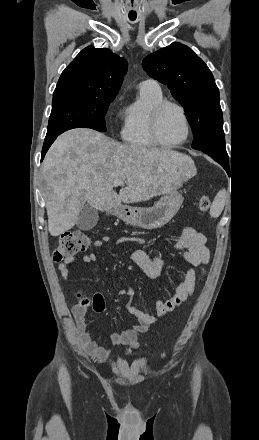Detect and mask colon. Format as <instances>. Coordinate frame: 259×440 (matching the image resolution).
Returning a JSON list of instances; mask_svg holds the SVG:
<instances>
[{"mask_svg": "<svg viewBox=\"0 0 259 440\" xmlns=\"http://www.w3.org/2000/svg\"><path fill=\"white\" fill-rule=\"evenodd\" d=\"M210 198L207 195H202L199 198V209L206 212L210 208ZM90 238L83 232L75 230L63 233L58 241L57 247L53 251V260L56 262L62 261L68 257H73L90 246ZM89 304L87 299L80 298L75 307L86 308Z\"/></svg>", "mask_w": 259, "mask_h": 440, "instance_id": "1", "label": "colon"}]
</instances>
